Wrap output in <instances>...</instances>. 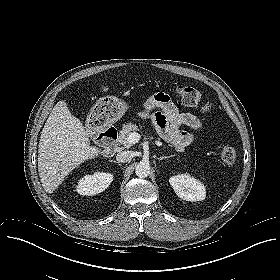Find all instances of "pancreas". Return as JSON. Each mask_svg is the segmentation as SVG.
<instances>
[{
  "label": "pancreas",
  "mask_w": 280,
  "mask_h": 280,
  "mask_svg": "<svg viewBox=\"0 0 280 280\" xmlns=\"http://www.w3.org/2000/svg\"><path fill=\"white\" fill-rule=\"evenodd\" d=\"M138 130L139 127L136 124H133L131 122L124 124L122 130L120 131L118 142L126 148L130 147L131 144L128 143L127 137L129 136L130 133Z\"/></svg>",
  "instance_id": "obj_1"
}]
</instances>
